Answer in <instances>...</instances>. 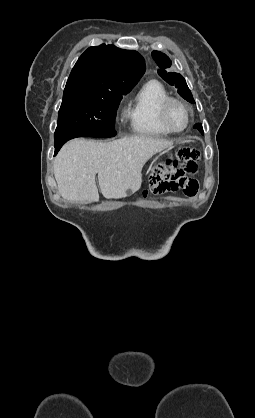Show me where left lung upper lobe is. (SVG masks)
<instances>
[{"instance_id":"left-lung-upper-lobe-1","label":"left lung upper lobe","mask_w":255,"mask_h":418,"mask_svg":"<svg viewBox=\"0 0 255 418\" xmlns=\"http://www.w3.org/2000/svg\"><path fill=\"white\" fill-rule=\"evenodd\" d=\"M152 57L160 68L158 70L159 75L170 85H175L181 97H183L188 102L195 104L191 91L189 90L183 76L179 73L167 71V68L172 65L170 58L160 51H153ZM197 129L203 134L202 128Z\"/></svg>"}]
</instances>
